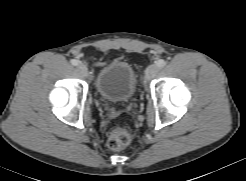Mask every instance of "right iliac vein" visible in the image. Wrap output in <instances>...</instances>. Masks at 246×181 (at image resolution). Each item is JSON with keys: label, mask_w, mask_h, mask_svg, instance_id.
<instances>
[{"label": "right iliac vein", "mask_w": 246, "mask_h": 181, "mask_svg": "<svg viewBox=\"0 0 246 181\" xmlns=\"http://www.w3.org/2000/svg\"><path fill=\"white\" fill-rule=\"evenodd\" d=\"M77 69H78V71H79L81 74H83V75H87V74H88V68H87V66H86L85 64H83V63L78 64Z\"/></svg>", "instance_id": "63e3f726"}]
</instances>
